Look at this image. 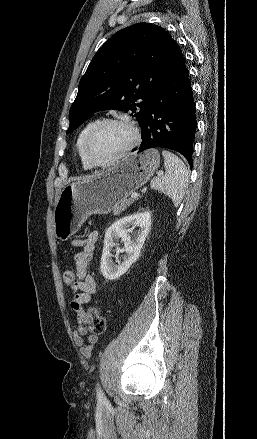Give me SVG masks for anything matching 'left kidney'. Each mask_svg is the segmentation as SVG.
<instances>
[{
	"instance_id": "1",
	"label": "left kidney",
	"mask_w": 257,
	"mask_h": 439,
	"mask_svg": "<svg viewBox=\"0 0 257 439\" xmlns=\"http://www.w3.org/2000/svg\"><path fill=\"white\" fill-rule=\"evenodd\" d=\"M131 226L132 228H130ZM135 227H139V230L134 233V238H131L129 232ZM150 227L151 214L144 211L123 217L107 229L100 262V269L104 278L115 280L128 271L130 266L139 258ZM118 238H121L124 243V252L126 254L122 262L115 264L112 260V249L116 246L114 241Z\"/></svg>"
}]
</instances>
